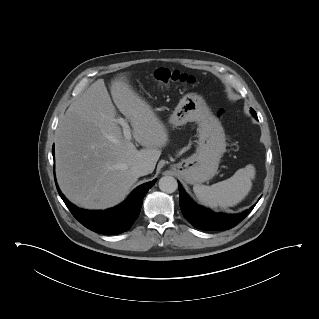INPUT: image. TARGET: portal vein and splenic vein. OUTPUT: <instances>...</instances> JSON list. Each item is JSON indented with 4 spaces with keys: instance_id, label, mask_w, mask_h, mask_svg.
I'll return each mask as SVG.
<instances>
[{
    "instance_id": "obj_1",
    "label": "portal vein and splenic vein",
    "mask_w": 319,
    "mask_h": 319,
    "mask_svg": "<svg viewBox=\"0 0 319 319\" xmlns=\"http://www.w3.org/2000/svg\"><path fill=\"white\" fill-rule=\"evenodd\" d=\"M117 122L122 126L123 128V134H124V137L127 139V140H131V129H130V126L128 125L127 121L123 118H120L117 120Z\"/></svg>"
}]
</instances>
